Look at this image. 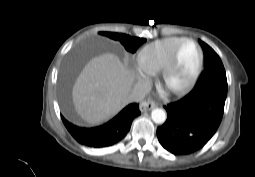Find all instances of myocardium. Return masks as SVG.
<instances>
[{"instance_id": "f54148a6", "label": "myocardium", "mask_w": 255, "mask_h": 177, "mask_svg": "<svg viewBox=\"0 0 255 177\" xmlns=\"http://www.w3.org/2000/svg\"><path fill=\"white\" fill-rule=\"evenodd\" d=\"M187 44H192L197 52H198V60H197V64L196 67L194 69V72L192 73L191 77L189 78L188 81H186L184 84L178 86V87H170L169 86V79L170 76L178 62L180 53L183 49V47ZM203 60H204V56H203V51L200 47V45L194 41L193 39H184L174 50L171 58L168 60V62L165 64V66L162 68V80L163 82L170 87L173 91L177 92V93H185L187 91H189L191 88L194 87V85L197 83L201 71H202V67H203Z\"/></svg>"}]
</instances>
